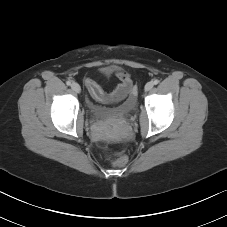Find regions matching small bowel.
Returning a JSON list of instances; mask_svg holds the SVG:
<instances>
[{
  "instance_id": "1",
  "label": "small bowel",
  "mask_w": 227,
  "mask_h": 227,
  "mask_svg": "<svg viewBox=\"0 0 227 227\" xmlns=\"http://www.w3.org/2000/svg\"><path fill=\"white\" fill-rule=\"evenodd\" d=\"M103 72L106 75L115 74L119 84L111 93L107 94L94 80L86 78L84 82L92 99L100 103L120 102L133 93L132 80L126 71L108 66Z\"/></svg>"
}]
</instances>
